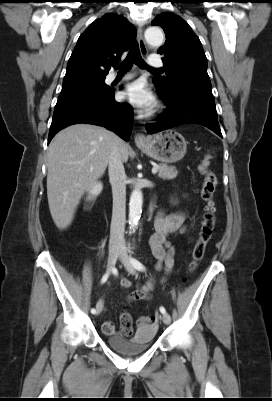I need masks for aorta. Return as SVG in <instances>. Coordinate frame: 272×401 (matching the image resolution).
<instances>
[{
	"instance_id": "aorta-1",
	"label": "aorta",
	"mask_w": 272,
	"mask_h": 401,
	"mask_svg": "<svg viewBox=\"0 0 272 401\" xmlns=\"http://www.w3.org/2000/svg\"><path fill=\"white\" fill-rule=\"evenodd\" d=\"M145 39L152 46H160L164 35L159 27H149L145 31ZM143 195L140 189H134L129 202V224L131 228L138 225L142 213Z\"/></svg>"
}]
</instances>
